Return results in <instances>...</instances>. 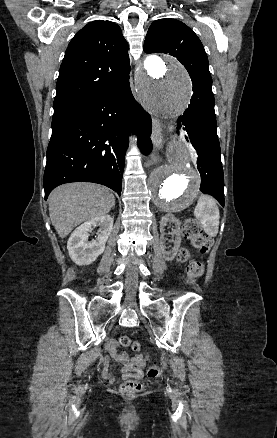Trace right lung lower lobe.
I'll list each match as a JSON object with an SVG mask.
<instances>
[{
  "label": "right lung lower lobe",
  "mask_w": 277,
  "mask_h": 438,
  "mask_svg": "<svg viewBox=\"0 0 277 438\" xmlns=\"http://www.w3.org/2000/svg\"><path fill=\"white\" fill-rule=\"evenodd\" d=\"M74 71H91L86 64H69ZM113 63L100 68L111 69ZM138 136L144 154L151 151V118L134 99L129 76L82 99L53 116L52 136L44 172L45 199L58 185L87 181L121 195L128 136Z\"/></svg>",
  "instance_id": "right-lung-lower-lobe-1"
}]
</instances>
